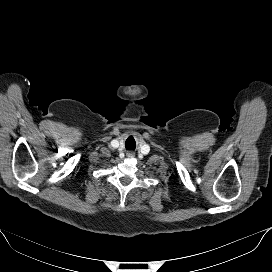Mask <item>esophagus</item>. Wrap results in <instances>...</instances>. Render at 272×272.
Instances as JSON below:
<instances>
[{
	"label": "esophagus",
	"mask_w": 272,
	"mask_h": 272,
	"mask_svg": "<svg viewBox=\"0 0 272 272\" xmlns=\"http://www.w3.org/2000/svg\"><path fill=\"white\" fill-rule=\"evenodd\" d=\"M127 157L128 158H133L134 157V153L133 152H127Z\"/></svg>",
	"instance_id": "obj_1"
}]
</instances>
